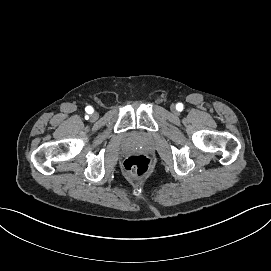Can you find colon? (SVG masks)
<instances>
[{"label":"colon","instance_id":"5ec220e1","mask_svg":"<svg viewBox=\"0 0 271 271\" xmlns=\"http://www.w3.org/2000/svg\"><path fill=\"white\" fill-rule=\"evenodd\" d=\"M123 168L128 175L140 178L150 171L151 160L145 155H132L124 161Z\"/></svg>","mask_w":271,"mask_h":271}]
</instances>
